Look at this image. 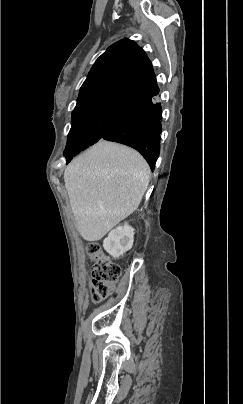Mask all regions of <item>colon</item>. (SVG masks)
Masks as SVG:
<instances>
[{"label":"colon","mask_w":243,"mask_h":404,"mask_svg":"<svg viewBox=\"0 0 243 404\" xmlns=\"http://www.w3.org/2000/svg\"><path fill=\"white\" fill-rule=\"evenodd\" d=\"M87 251L93 260L91 297L94 302H100L112 294L114 285L120 277V266L110 261L96 243L89 244Z\"/></svg>","instance_id":"1"}]
</instances>
